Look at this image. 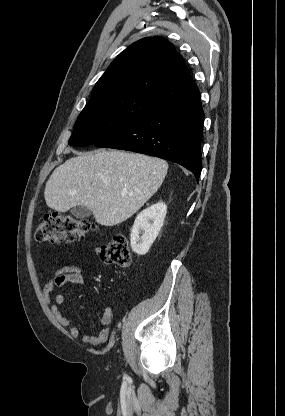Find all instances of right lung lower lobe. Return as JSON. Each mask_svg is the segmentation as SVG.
Segmentation results:
<instances>
[{
  "instance_id": "98d812e1",
  "label": "right lung lower lobe",
  "mask_w": 285,
  "mask_h": 416,
  "mask_svg": "<svg viewBox=\"0 0 285 416\" xmlns=\"http://www.w3.org/2000/svg\"><path fill=\"white\" fill-rule=\"evenodd\" d=\"M204 112L200 94L160 107L125 129L94 143L173 161L199 180Z\"/></svg>"
}]
</instances>
